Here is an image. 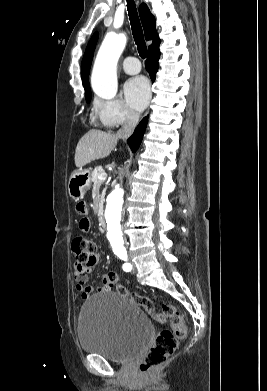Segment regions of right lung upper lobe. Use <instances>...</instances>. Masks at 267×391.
Listing matches in <instances>:
<instances>
[{
	"instance_id": "1",
	"label": "right lung upper lobe",
	"mask_w": 267,
	"mask_h": 391,
	"mask_svg": "<svg viewBox=\"0 0 267 391\" xmlns=\"http://www.w3.org/2000/svg\"><path fill=\"white\" fill-rule=\"evenodd\" d=\"M139 14L144 28L146 40H153V43L148 48V53H149L151 51L158 49L160 44V39L156 33L155 18L150 13L149 8L147 7L146 4L140 5ZM97 40H98V33L96 32L91 38L86 48L81 64V76H82V82L85 88V92H91L88 83V76H89V70L91 67V62H92L93 53H94Z\"/></svg>"
}]
</instances>
